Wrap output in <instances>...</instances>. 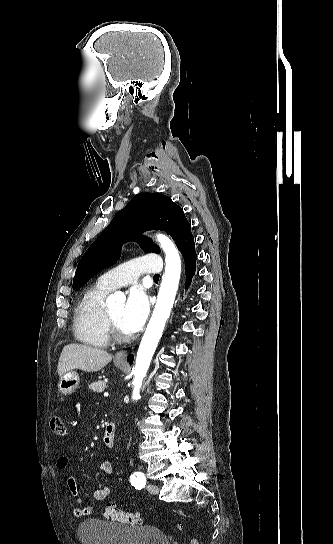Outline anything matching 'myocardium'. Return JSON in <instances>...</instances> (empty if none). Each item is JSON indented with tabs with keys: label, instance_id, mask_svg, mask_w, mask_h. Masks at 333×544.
<instances>
[{
	"label": "myocardium",
	"instance_id": "myocardium-1",
	"mask_svg": "<svg viewBox=\"0 0 333 544\" xmlns=\"http://www.w3.org/2000/svg\"><path fill=\"white\" fill-rule=\"evenodd\" d=\"M105 316H106V322H107V326H108V331H109V335L117 340V341H125L128 339V335L124 332H122L117 323L115 322V320L112 318V316L110 315L109 313V310L106 309V312H105Z\"/></svg>",
	"mask_w": 333,
	"mask_h": 544
}]
</instances>
